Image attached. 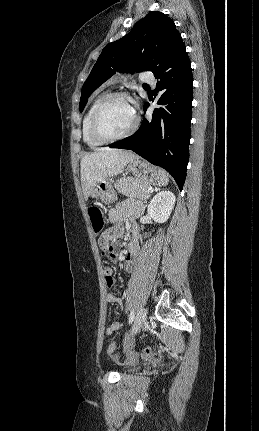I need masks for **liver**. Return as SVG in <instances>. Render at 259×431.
<instances>
[{
    "mask_svg": "<svg viewBox=\"0 0 259 431\" xmlns=\"http://www.w3.org/2000/svg\"><path fill=\"white\" fill-rule=\"evenodd\" d=\"M136 158L138 156L131 151L106 147L86 154L80 164L84 198L87 200L98 183L122 173L127 164Z\"/></svg>",
    "mask_w": 259,
    "mask_h": 431,
    "instance_id": "liver-1",
    "label": "liver"
}]
</instances>
